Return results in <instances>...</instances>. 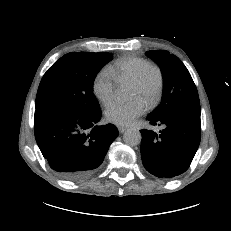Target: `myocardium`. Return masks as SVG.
Listing matches in <instances>:
<instances>
[{
  "label": "myocardium",
  "instance_id": "obj_1",
  "mask_svg": "<svg viewBox=\"0 0 231 231\" xmlns=\"http://www.w3.org/2000/svg\"><path fill=\"white\" fill-rule=\"evenodd\" d=\"M151 71H155L157 73V75H158V85H157V88L155 90V93L149 99V101L146 103V106L148 108L155 107L159 103V101L161 100L163 90H164V86H165V74H164L163 69L158 64L150 63L140 71V73L137 75V77L131 83L132 87L142 88L148 74Z\"/></svg>",
  "mask_w": 231,
  "mask_h": 231
}]
</instances>
